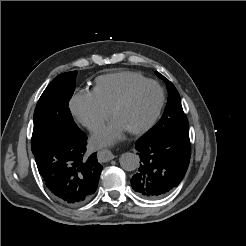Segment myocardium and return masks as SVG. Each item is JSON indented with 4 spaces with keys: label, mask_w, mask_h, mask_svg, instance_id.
<instances>
[{
    "label": "myocardium",
    "mask_w": 246,
    "mask_h": 246,
    "mask_svg": "<svg viewBox=\"0 0 246 246\" xmlns=\"http://www.w3.org/2000/svg\"><path fill=\"white\" fill-rule=\"evenodd\" d=\"M146 85H154L158 91H159V101L157 104V107L152 115V117L141 127L135 128V129H129L128 132L133 135H142L149 131L157 122L159 119L162 109L165 104V91L163 87L155 80L152 79H146L141 82H138L131 87H129L123 95L115 102V104L112 106L110 112L113 117H115L118 110H120L133 96V94L139 90L140 88L146 86Z\"/></svg>",
    "instance_id": "myocardium-1"
}]
</instances>
